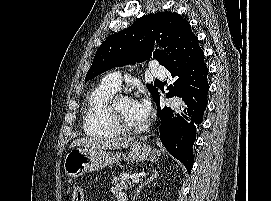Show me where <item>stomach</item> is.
<instances>
[{"mask_svg": "<svg viewBox=\"0 0 271 201\" xmlns=\"http://www.w3.org/2000/svg\"><path fill=\"white\" fill-rule=\"evenodd\" d=\"M159 155L158 150L141 142L134 143L129 152L123 155L103 149L76 148L67 153L64 160V171L68 177L77 178L85 173L112 166L122 159L127 162L153 161Z\"/></svg>", "mask_w": 271, "mask_h": 201, "instance_id": "obj_1", "label": "stomach"}]
</instances>
